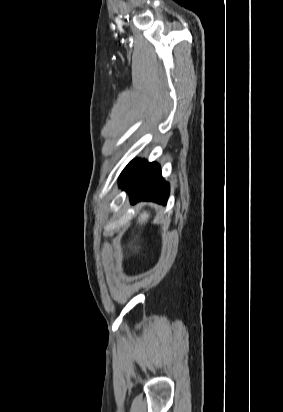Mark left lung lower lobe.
I'll return each mask as SVG.
<instances>
[{"mask_svg":"<svg viewBox=\"0 0 283 412\" xmlns=\"http://www.w3.org/2000/svg\"><path fill=\"white\" fill-rule=\"evenodd\" d=\"M120 186L130 194L133 204L144 200L165 205L169 196V184L163 180L160 166L155 162L141 160L130 178Z\"/></svg>","mask_w":283,"mask_h":412,"instance_id":"obj_1","label":"left lung lower lobe"}]
</instances>
